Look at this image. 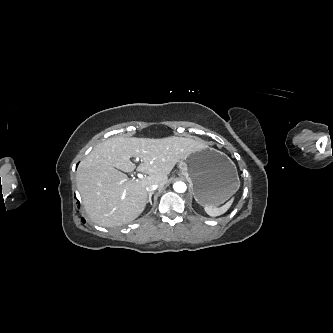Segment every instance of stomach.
<instances>
[{"mask_svg": "<svg viewBox=\"0 0 333 333\" xmlns=\"http://www.w3.org/2000/svg\"><path fill=\"white\" fill-rule=\"evenodd\" d=\"M179 173L190 183L196 202L218 207L238 190L234 162L223 152L206 147L180 159Z\"/></svg>", "mask_w": 333, "mask_h": 333, "instance_id": "0dacf381", "label": "stomach"}]
</instances>
